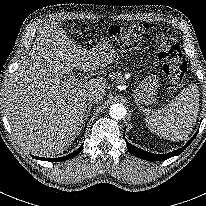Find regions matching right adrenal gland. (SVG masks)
<instances>
[{
  "label": "right adrenal gland",
  "mask_w": 206,
  "mask_h": 206,
  "mask_svg": "<svg viewBox=\"0 0 206 206\" xmlns=\"http://www.w3.org/2000/svg\"><path fill=\"white\" fill-rule=\"evenodd\" d=\"M91 107H92V103H88V108L86 110V114H85V120L89 117L90 111H91Z\"/></svg>",
  "instance_id": "right-adrenal-gland-1"
}]
</instances>
